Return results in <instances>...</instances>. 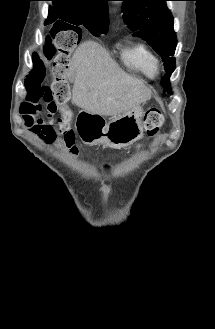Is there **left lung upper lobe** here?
<instances>
[{"instance_id": "left-lung-upper-lobe-1", "label": "left lung upper lobe", "mask_w": 215, "mask_h": 329, "mask_svg": "<svg viewBox=\"0 0 215 329\" xmlns=\"http://www.w3.org/2000/svg\"><path fill=\"white\" fill-rule=\"evenodd\" d=\"M123 1L124 22L139 31L138 36L145 39L161 55L165 67V77L161 84L171 94L169 78L175 69L174 55L177 39L173 29V16L166 6L169 0H121Z\"/></svg>"}]
</instances>
